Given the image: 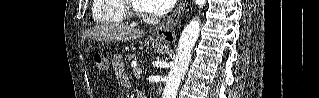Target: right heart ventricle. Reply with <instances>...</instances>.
Listing matches in <instances>:
<instances>
[{
  "instance_id": "1",
  "label": "right heart ventricle",
  "mask_w": 319,
  "mask_h": 98,
  "mask_svg": "<svg viewBox=\"0 0 319 98\" xmlns=\"http://www.w3.org/2000/svg\"><path fill=\"white\" fill-rule=\"evenodd\" d=\"M92 17L97 24H118L127 19L124 0H94Z\"/></svg>"
}]
</instances>
